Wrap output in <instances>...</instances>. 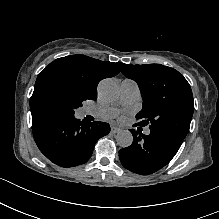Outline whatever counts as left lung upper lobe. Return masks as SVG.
Instances as JSON below:
<instances>
[{
  "label": "left lung upper lobe",
  "mask_w": 219,
  "mask_h": 219,
  "mask_svg": "<svg viewBox=\"0 0 219 219\" xmlns=\"http://www.w3.org/2000/svg\"><path fill=\"white\" fill-rule=\"evenodd\" d=\"M122 73L141 90L143 108L136 124L183 141L194 112L191 87L183 75L160 64H127Z\"/></svg>",
  "instance_id": "1"
}]
</instances>
